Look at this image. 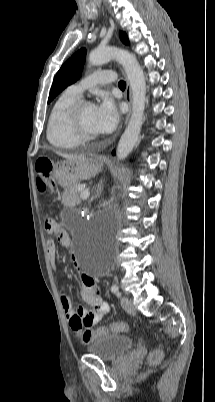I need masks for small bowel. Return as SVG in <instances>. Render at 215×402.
<instances>
[{
  "label": "small bowel",
  "mask_w": 215,
  "mask_h": 402,
  "mask_svg": "<svg viewBox=\"0 0 215 402\" xmlns=\"http://www.w3.org/2000/svg\"><path fill=\"white\" fill-rule=\"evenodd\" d=\"M47 233H56L59 243L68 247L70 245V237L66 231L59 228L54 221L51 229H45ZM47 253L50 262L55 265L57 247L53 239H48L46 242ZM82 288L81 297L83 301L89 305L90 309L84 307H78L74 309L72 302L67 294L61 292L60 301L65 314V317L69 323V326L79 331L84 326H93L97 324L109 311V305L103 301L101 297L100 288L95 280L88 276L82 275Z\"/></svg>",
  "instance_id": "1"
}]
</instances>
